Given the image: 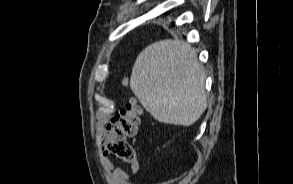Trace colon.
<instances>
[{
	"mask_svg": "<svg viewBox=\"0 0 293 184\" xmlns=\"http://www.w3.org/2000/svg\"><path fill=\"white\" fill-rule=\"evenodd\" d=\"M124 82L126 83V80ZM141 115V106L135 99H130L112 118L102 142L105 155L116 157L128 164L136 163V154L128 139L136 135Z\"/></svg>",
	"mask_w": 293,
	"mask_h": 184,
	"instance_id": "colon-1",
	"label": "colon"
}]
</instances>
